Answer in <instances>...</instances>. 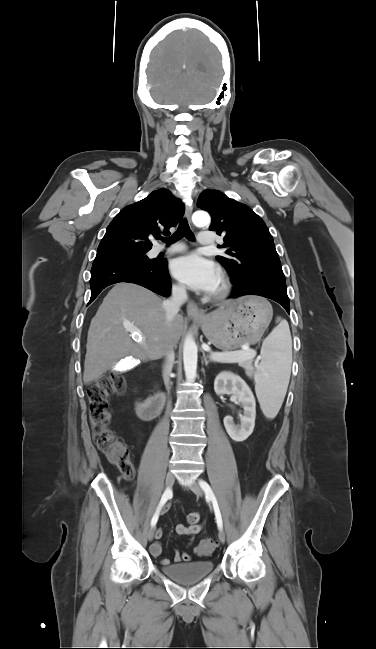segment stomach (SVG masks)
Masks as SVG:
<instances>
[{"label":"stomach","mask_w":376,"mask_h":649,"mask_svg":"<svg viewBox=\"0 0 376 649\" xmlns=\"http://www.w3.org/2000/svg\"><path fill=\"white\" fill-rule=\"evenodd\" d=\"M272 313L267 300L250 296L227 301L219 309L204 315L199 322L213 345L226 351L258 342Z\"/></svg>","instance_id":"obj_1"}]
</instances>
